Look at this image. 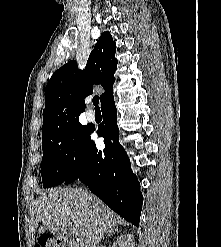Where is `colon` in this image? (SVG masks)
I'll return each instance as SVG.
<instances>
[{"label": "colon", "mask_w": 221, "mask_h": 247, "mask_svg": "<svg viewBox=\"0 0 221 247\" xmlns=\"http://www.w3.org/2000/svg\"><path fill=\"white\" fill-rule=\"evenodd\" d=\"M35 247H63L59 242H55L50 238H46L45 240L39 242Z\"/></svg>", "instance_id": "obj_1"}]
</instances>
